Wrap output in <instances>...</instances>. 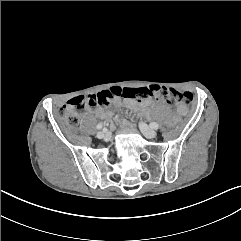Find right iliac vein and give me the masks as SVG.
I'll return each instance as SVG.
<instances>
[{
  "label": "right iliac vein",
  "mask_w": 241,
  "mask_h": 241,
  "mask_svg": "<svg viewBox=\"0 0 241 241\" xmlns=\"http://www.w3.org/2000/svg\"><path fill=\"white\" fill-rule=\"evenodd\" d=\"M108 136H109V134H108V132H106V131H100V132L97 133V137H98L99 139H105V138H107Z\"/></svg>",
  "instance_id": "right-iliac-vein-1"
}]
</instances>
